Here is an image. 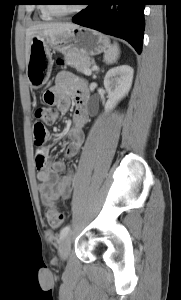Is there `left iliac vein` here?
Here are the masks:
<instances>
[{
    "mask_svg": "<svg viewBox=\"0 0 181 300\" xmlns=\"http://www.w3.org/2000/svg\"><path fill=\"white\" fill-rule=\"evenodd\" d=\"M71 250V235H67L60 244L59 255L62 259L66 260L69 257Z\"/></svg>",
    "mask_w": 181,
    "mask_h": 300,
    "instance_id": "left-iliac-vein-1",
    "label": "left iliac vein"
}]
</instances>
